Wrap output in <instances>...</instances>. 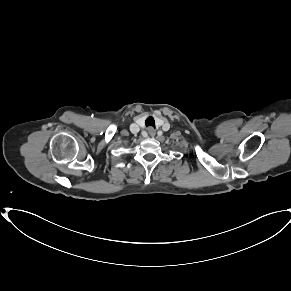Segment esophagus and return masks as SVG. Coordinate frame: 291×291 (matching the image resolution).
<instances>
[{"instance_id":"1","label":"esophagus","mask_w":291,"mask_h":291,"mask_svg":"<svg viewBox=\"0 0 291 291\" xmlns=\"http://www.w3.org/2000/svg\"><path fill=\"white\" fill-rule=\"evenodd\" d=\"M147 131H148V134H149L150 136H152V137L155 136V134H156L154 128H152V127H149V128L147 129Z\"/></svg>"}]
</instances>
